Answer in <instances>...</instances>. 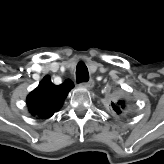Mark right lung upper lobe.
<instances>
[{"mask_svg":"<svg viewBox=\"0 0 164 164\" xmlns=\"http://www.w3.org/2000/svg\"><path fill=\"white\" fill-rule=\"evenodd\" d=\"M74 87L70 80L61 85H54L49 76L44 77L38 87L27 97L30 113L41 118H48L60 109L68 92Z\"/></svg>","mask_w":164,"mask_h":164,"instance_id":"right-lung-upper-lobe-1","label":"right lung upper lobe"}]
</instances>
